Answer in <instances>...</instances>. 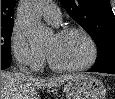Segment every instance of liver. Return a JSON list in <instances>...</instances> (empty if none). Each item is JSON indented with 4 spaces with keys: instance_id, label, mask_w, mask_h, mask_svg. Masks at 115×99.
<instances>
[{
    "instance_id": "obj_1",
    "label": "liver",
    "mask_w": 115,
    "mask_h": 99,
    "mask_svg": "<svg viewBox=\"0 0 115 99\" xmlns=\"http://www.w3.org/2000/svg\"><path fill=\"white\" fill-rule=\"evenodd\" d=\"M75 76L62 75L42 79L33 76L22 77L20 73L1 70V99H39L38 89L63 85Z\"/></svg>"
}]
</instances>
